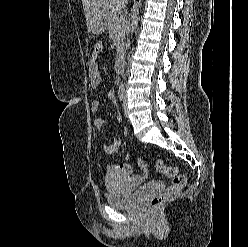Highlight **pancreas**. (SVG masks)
I'll return each instance as SVG.
<instances>
[{"mask_svg": "<svg viewBox=\"0 0 248 247\" xmlns=\"http://www.w3.org/2000/svg\"><path fill=\"white\" fill-rule=\"evenodd\" d=\"M106 16L109 35L116 46L117 53L119 54L124 49L126 33L125 18L115 13H107Z\"/></svg>", "mask_w": 248, "mask_h": 247, "instance_id": "obj_1", "label": "pancreas"}]
</instances>
